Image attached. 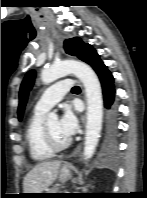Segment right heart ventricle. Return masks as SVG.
<instances>
[{
	"label": "right heart ventricle",
	"mask_w": 147,
	"mask_h": 198,
	"mask_svg": "<svg viewBox=\"0 0 147 198\" xmlns=\"http://www.w3.org/2000/svg\"><path fill=\"white\" fill-rule=\"evenodd\" d=\"M45 112L34 110L28 119L25 129V140L27 143L30 157L35 162H44L51 159L54 155L46 145L43 134L42 118Z\"/></svg>",
	"instance_id": "obj_1"
}]
</instances>
